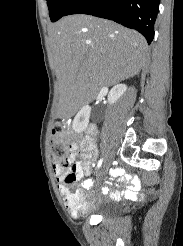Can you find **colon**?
<instances>
[{
  "label": "colon",
  "instance_id": "colon-1",
  "mask_svg": "<svg viewBox=\"0 0 183 246\" xmlns=\"http://www.w3.org/2000/svg\"><path fill=\"white\" fill-rule=\"evenodd\" d=\"M51 157L55 164L65 166L68 162V146L64 140V127L56 124L51 134ZM66 183L73 184L75 178H65ZM72 207L79 211H87L88 206L81 197H77L72 202Z\"/></svg>",
  "mask_w": 183,
  "mask_h": 246
}]
</instances>
